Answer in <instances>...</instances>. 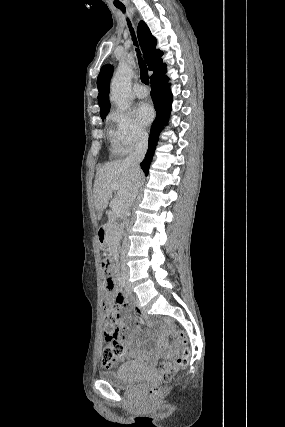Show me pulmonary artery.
<instances>
[{
    "mask_svg": "<svg viewBox=\"0 0 285 427\" xmlns=\"http://www.w3.org/2000/svg\"><path fill=\"white\" fill-rule=\"evenodd\" d=\"M147 94H148L147 89L142 85L137 86L135 91H134V95L137 98H144L147 96Z\"/></svg>",
    "mask_w": 285,
    "mask_h": 427,
    "instance_id": "e3ab8cb5",
    "label": "pulmonary artery"
}]
</instances>
